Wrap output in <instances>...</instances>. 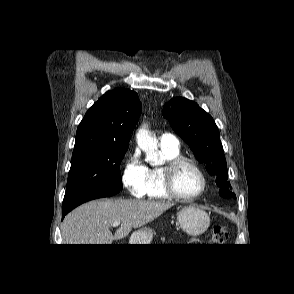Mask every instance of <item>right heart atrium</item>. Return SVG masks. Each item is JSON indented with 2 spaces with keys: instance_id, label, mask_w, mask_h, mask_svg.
<instances>
[{
  "instance_id": "d8ad5b80",
  "label": "right heart atrium",
  "mask_w": 294,
  "mask_h": 294,
  "mask_svg": "<svg viewBox=\"0 0 294 294\" xmlns=\"http://www.w3.org/2000/svg\"><path fill=\"white\" fill-rule=\"evenodd\" d=\"M121 181L132 197L142 198L146 195L147 167L137 149L132 150L123 161Z\"/></svg>"
}]
</instances>
